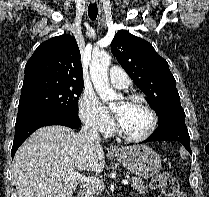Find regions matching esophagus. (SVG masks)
<instances>
[{
    "instance_id": "34e87169",
    "label": "esophagus",
    "mask_w": 209,
    "mask_h": 197,
    "mask_svg": "<svg viewBox=\"0 0 209 197\" xmlns=\"http://www.w3.org/2000/svg\"><path fill=\"white\" fill-rule=\"evenodd\" d=\"M111 151L118 153V152H120V149L117 146H111Z\"/></svg>"
}]
</instances>
